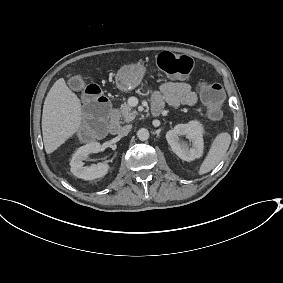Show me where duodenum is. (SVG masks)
Returning <instances> with one entry per match:
<instances>
[{
	"mask_svg": "<svg viewBox=\"0 0 283 283\" xmlns=\"http://www.w3.org/2000/svg\"><path fill=\"white\" fill-rule=\"evenodd\" d=\"M106 107V110H108L107 106L105 105ZM162 111V108L160 106H158L157 104H154L151 108V112L154 116H158L160 115ZM120 130V123H119V120L116 116H114L111 121L109 122V125H108V131L111 133V134H116L118 133Z\"/></svg>",
	"mask_w": 283,
	"mask_h": 283,
	"instance_id": "410a0bca",
	"label": "duodenum"
}]
</instances>
